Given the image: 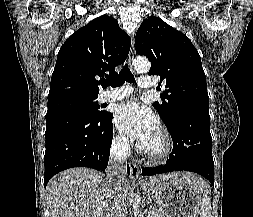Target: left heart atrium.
Masks as SVG:
<instances>
[{
  "label": "left heart atrium",
  "instance_id": "obj_1",
  "mask_svg": "<svg viewBox=\"0 0 253 217\" xmlns=\"http://www.w3.org/2000/svg\"><path fill=\"white\" fill-rule=\"evenodd\" d=\"M114 123L121 133L137 141L142 147L159 128L157 116L135 101L118 107Z\"/></svg>",
  "mask_w": 253,
  "mask_h": 217
}]
</instances>
